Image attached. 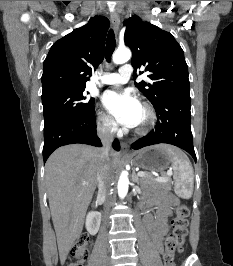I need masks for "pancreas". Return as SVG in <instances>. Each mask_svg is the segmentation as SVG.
<instances>
[{
    "label": "pancreas",
    "mask_w": 233,
    "mask_h": 266,
    "mask_svg": "<svg viewBox=\"0 0 233 266\" xmlns=\"http://www.w3.org/2000/svg\"><path fill=\"white\" fill-rule=\"evenodd\" d=\"M146 176L141 177L139 179V182L142 186H153V187H169L168 182H158L154 179L153 175L145 172Z\"/></svg>",
    "instance_id": "obj_1"
}]
</instances>
